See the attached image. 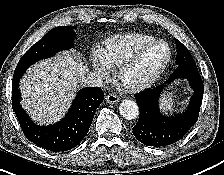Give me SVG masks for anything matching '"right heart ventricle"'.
I'll use <instances>...</instances> for the list:
<instances>
[{
    "instance_id": "e07e8e85",
    "label": "right heart ventricle",
    "mask_w": 224,
    "mask_h": 175,
    "mask_svg": "<svg viewBox=\"0 0 224 175\" xmlns=\"http://www.w3.org/2000/svg\"><path fill=\"white\" fill-rule=\"evenodd\" d=\"M155 40L144 33H123L107 38L99 47L98 54L109 67L120 66L140 47Z\"/></svg>"
}]
</instances>
